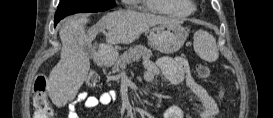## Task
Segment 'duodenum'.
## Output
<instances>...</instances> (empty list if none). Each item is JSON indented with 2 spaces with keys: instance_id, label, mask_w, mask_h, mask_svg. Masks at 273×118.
Segmentation results:
<instances>
[{
  "instance_id": "obj_1",
  "label": "duodenum",
  "mask_w": 273,
  "mask_h": 118,
  "mask_svg": "<svg viewBox=\"0 0 273 118\" xmlns=\"http://www.w3.org/2000/svg\"><path fill=\"white\" fill-rule=\"evenodd\" d=\"M109 61V57L108 54L103 52L101 54H99L98 56H96L95 58V62L98 66L102 67L105 66Z\"/></svg>"
}]
</instances>
